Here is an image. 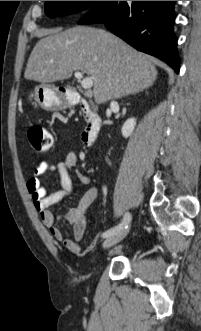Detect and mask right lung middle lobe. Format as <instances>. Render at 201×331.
<instances>
[{
    "label": "right lung middle lobe",
    "instance_id": "1",
    "mask_svg": "<svg viewBox=\"0 0 201 331\" xmlns=\"http://www.w3.org/2000/svg\"><path fill=\"white\" fill-rule=\"evenodd\" d=\"M99 1H45V13L49 17L78 13L92 8Z\"/></svg>",
    "mask_w": 201,
    "mask_h": 331
}]
</instances>
